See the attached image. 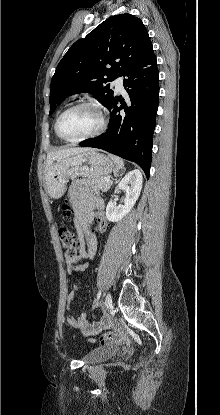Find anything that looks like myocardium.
I'll use <instances>...</instances> for the list:
<instances>
[{
  "label": "myocardium",
  "mask_w": 220,
  "mask_h": 415,
  "mask_svg": "<svg viewBox=\"0 0 220 415\" xmlns=\"http://www.w3.org/2000/svg\"><path fill=\"white\" fill-rule=\"evenodd\" d=\"M81 107H89V108H93L94 110H96V112L99 115V119H100V124L99 127L97 128L96 131H94L91 134H88L86 136H83L81 138H77V139H67L65 137H63L59 131V123L61 121V119L63 118V116L65 114H67L68 112L77 109V108H81ZM107 128V118L105 115V112L102 108V106L93 100H84V101H80L77 102L73 105H71L70 107L66 108L62 113H60V115L57 117L56 121H55V125H54V130L56 135L63 141L67 142V143H79L85 140H89L92 138H96L98 136H100Z\"/></svg>",
  "instance_id": "myocardium-1"
}]
</instances>
